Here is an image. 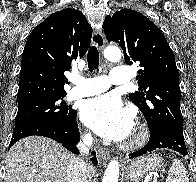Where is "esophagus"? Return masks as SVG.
<instances>
[{
	"label": "esophagus",
	"mask_w": 196,
	"mask_h": 182,
	"mask_svg": "<svg viewBox=\"0 0 196 182\" xmlns=\"http://www.w3.org/2000/svg\"><path fill=\"white\" fill-rule=\"evenodd\" d=\"M92 44L100 50L104 49L105 37L101 30H94L92 35ZM97 156L99 158V161L103 163L107 162L111 158L110 152L103 148L97 150Z\"/></svg>",
	"instance_id": "1"
}]
</instances>
